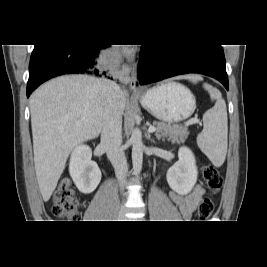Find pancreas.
<instances>
[{"label": "pancreas", "instance_id": "obj_1", "mask_svg": "<svg viewBox=\"0 0 267 267\" xmlns=\"http://www.w3.org/2000/svg\"><path fill=\"white\" fill-rule=\"evenodd\" d=\"M156 126L155 136L157 139L168 138L173 143L185 142L189 132L186 127L171 125L163 122H154Z\"/></svg>", "mask_w": 267, "mask_h": 267}]
</instances>
